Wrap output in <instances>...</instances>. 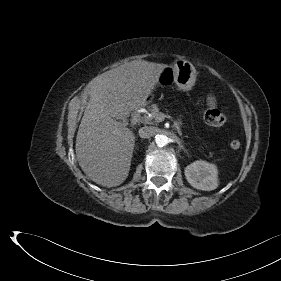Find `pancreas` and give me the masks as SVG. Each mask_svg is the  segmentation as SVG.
<instances>
[{
    "mask_svg": "<svg viewBox=\"0 0 281 281\" xmlns=\"http://www.w3.org/2000/svg\"><path fill=\"white\" fill-rule=\"evenodd\" d=\"M151 116H144L143 122L146 124H157L160 122V118L162 117V113L159 112V108L156 104H153L151 109Z\"/></svg>",
    "mask_w": 281,
    "mask_h": 281,
    "instance_id": "cf45deb5",
    "label": "pancreas"
}]
</instances>
